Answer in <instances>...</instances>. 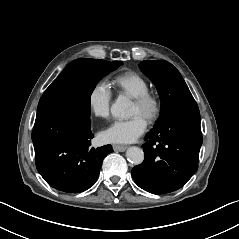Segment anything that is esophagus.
Returning a JSON list of instances; mask_svg holds the SVG:
<instances>
[{
  "mask_svg": "<svg viewBox=\"0 0 239 239\" xmlns=\"http://www.w3.org/2000/svg\"><path fill=\"white\" fill-rule=\"evenodd\" d=\"M126 149L127 147L123 145H113V150L116 152H124Z\"/></svg>",
  "mask_w": 239,
  "mask_h": 239,
  "instance_id": "obj_1",
  "label": "esophagus"
}]
</instances>
